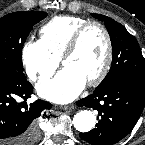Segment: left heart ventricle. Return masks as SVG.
Wrapping results in <instances>:
<instances>
[{"label": "left heart ventricle", "mask_w": 145, "mask_h": 145, "mask_svg": "<svg viewBox=\"0 0 145 145\" xmlns=\"http://www.w3.org/2000/svg\"><path fill=\"white\" fill-rule=\"evenodd\" d=\"M106 55V40L98 27H90L82 35L76 51L68 57L65 67H71L86 82L93 79L100 71Z\"/></svg>", "instance_id": "b2bd125f"}]
</instances>
